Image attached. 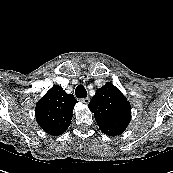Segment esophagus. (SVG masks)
Listing matches in <instances>:
<instances>
[{
    "label": "esophagus",
    "instance_id": "34e87169",
    "mask_svg": "<svg viewBox=\"0 0 173 173\" xmlns=\"http://www.w3.org/2000/svg\"><path fill=\"white\" fill-rule=\"evenodd\" d=\"M80 101L84 104H88L90 102V98L89 97L82 98V99H80Z\"/></svg>",
    "mask_w": 173,
    "mask_h": 173
}]
</instances>
